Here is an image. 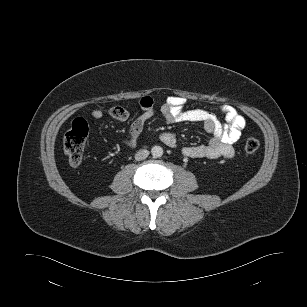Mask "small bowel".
Returning <instances> with one entry per match:
<instances>
[{
  "instance_id": "obj_1",
  "label": "small bowel",
  "mask_w": 307,
  "mask_h": 307,
  "mask_svg": "<svg viewBox=\"0 0 307 307\" xmlns=\"http://www.w3.org/2000/svg\"><path fill=\"white\" fill-rule=\"evenodd\" d=\"M186 100L179 96H170L161 106L160 112L169 124L181 122L201 123L207 133L211 135L207 144L186 146L182 154L191 159H217L232 158L234 145L240 139L246 126L245 118L230 105H222L221 111L225 116L226 124H222L210 111L204 109H185ZM142 113L130 125L125 144L133 148L142 133L146 123L155 115L154 100L145 96L139 101ZM109 115L121 122L129 118L128 109L115 106L109 110ZM94 120L103 118V112L95 109L91 112ZM162 143L169 147L177 145V137L172 132L163 133L160 137Z\"/></svg>"
}]
</instances>
